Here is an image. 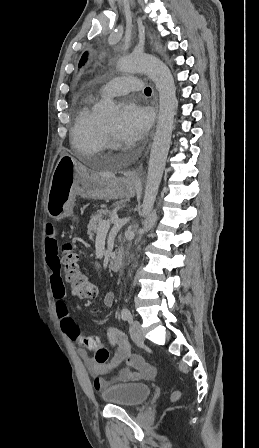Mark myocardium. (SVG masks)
<instances>
[{"instance_id": "myocardium-1", "label": "myocardium", "mask_w": 259, "mask_h": 448, "mask_svg": "<svg viewBox=\"0 0 259 448\" xmlns=\"http://www.w3.org/2000/svg\"><path fill=\"white\" fill-rule=\"evenodd\" d=\"M101 132L102 136L104 138L105 143L108 145L111 149H118L120 146L114 141L112 134L108 128L105 127L103 123H101ZM84 154L79 152V159H84Z\"/></svg>"}]
</instances>
